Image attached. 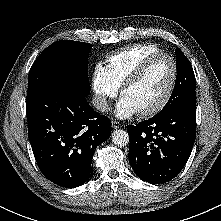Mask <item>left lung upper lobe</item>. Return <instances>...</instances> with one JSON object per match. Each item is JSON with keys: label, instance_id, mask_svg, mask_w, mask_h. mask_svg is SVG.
<instances>
[{"label": "left lung upper lobe", "instance_id": "5c2ea615", "mask_svg": "<svg viewBox=\"0 0 221 221\" xmlns=\"http://www.w3.org/2000/svg\"><path fill=\"white\" fill-rule=\"evenodd\" d=\"M176 69L177 77L170 99L155 116H164L181 106H196V80L193 68L179 48L176 49Z\"/></svg>", "mask_w": 221, "mask_h": 221}]
</instances>
